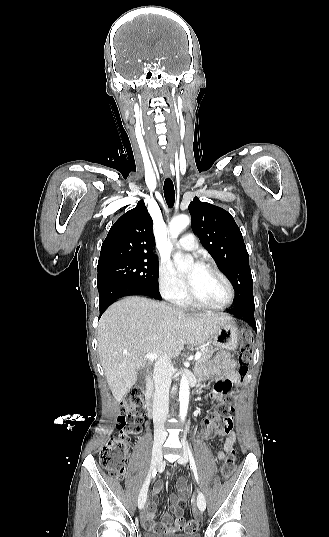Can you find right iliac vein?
I'll use <instances>...</instances> for the list:
<instances>
[{
    "label": "right iliac vein",
    "instance_id": "obj_1",
    "mask_svg": "<svg viewBox=\"0 0 329 537\" xmlns=\"http://www.w3.org/2000/svg\"><path fill=\"white\" fill-rule=\"evenodd\" d=\"M164 441V438H159L155 444H154V449H153V454H152V468L154 466H156L157 464L160 463V458H161V444L163 443ZM148 485H149V477L147 478V480L145 481L140 493H139V496H138V508L139 509H142L144 507V504L146 502V498H147V492H148Z\"/></svg>",
    "mask_w": 329,
    "mask_h": 537
}]
</instances>
